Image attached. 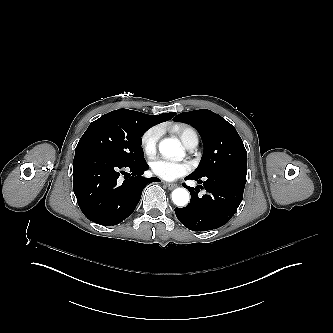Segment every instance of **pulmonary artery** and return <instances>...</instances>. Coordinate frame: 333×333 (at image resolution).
<instances>
[{
	"label": "pulmonary artery",
	"mask_w": 333,
	"mask_h": 333,
	"mask_svg": "<svg viewBox=\"0 0 333 333\" xmlns=\"http://www.w3.org/2000/svg\"><path fill=\"white\" fill-rule=\"evenodd\" d=\"M198 145V137L195 133H192L189 135L188 141L186 143V147L189 150H193L197 147Z\"/></svg>",
	"instance_id": "obj_1"
}]
</instances>
